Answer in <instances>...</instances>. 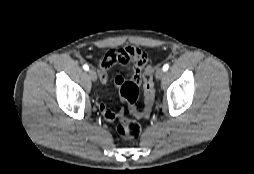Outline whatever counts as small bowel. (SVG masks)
<instances>
[{"mask_svg": "<svg viewBox=\"0 0 254 174\" xmlns=\"http://www.w3.org/2000/svg\"><path fill=\"white\" fill-rule=\"evenodd\" d=\"M148 61L147 54L138 47H125L122 49L110 51L106 53L99 64V79L102 83L108 80L109 69L116 64L131 65V80L140 83L141 72ZM125 82L123 76H116L114 79L115 85L120 88ZM99 110L103 117L107 120H112L115 113L106 107L104 103L99 105Z\"/></svg>", "mask_w": 254, "mask_h": 174, "instance_id": "small-bowel-1", "label": "small bowel"}]
</instances>
